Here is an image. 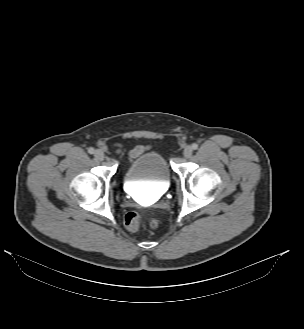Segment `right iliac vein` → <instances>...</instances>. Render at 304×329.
Returning <instances> with one entry per match:
<instances>
[{
	"label": "right iliac vein",
	"instance_id": "obj_1",
	"mask_svg": "<svg viewBox=\"0 0 304 329\" xmlns=\"http://www.w3.org/2000/svg\"><path fill=\"white\" fill-rule=\"evenodd\" d=\"M94 156L98 160H103L104 159V153L101 150H96L94 153Z\"/></svg>",
	"mask_w": 304,
	"mask_h": 329
}]
</instances>
